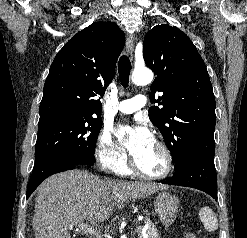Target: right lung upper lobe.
Segmentation results:
<instances>
[{
    "mask_svg": "<svg viewBox=\"0 0 247 238\" xmlns=\"http://www.w3.org/2000/svg\"><path fill=\"white\" fill-rule=\"evenodd\" d=\"M124 43L113 22H95L72 37L51 64L39 123L100 116V97L114 77Z\"/></svg>",
    "mask_w": 247,
    "mask_h": 238,
    "instance_id": "obj_1",
    "label": "right lung upper lobe"
}]
</instances>
